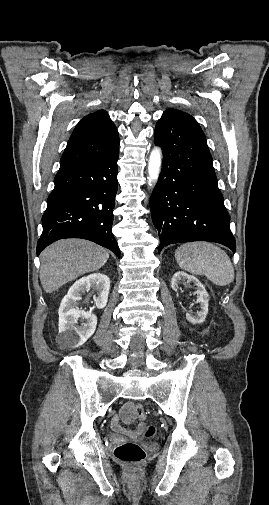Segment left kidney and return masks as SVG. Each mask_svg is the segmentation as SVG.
Here are the masks:
<instances>
[{"label": "left kidney", "instance_id": "obj_1", "mask_svg": "<svg viewBox=\"0 0 269 505\" xmlns=\"http://www.w3.org/2000/svg\"><path fill=\"white\" fill-rule=\"evenodd\" d=\"M185 279L188 282L194 283V285L196 286V291H195V294L197 295L196 303H198L199 307H200V311H197L196 314H193L190 311L187 312L186 319L189 322H191L192 324L203 323L206 319L207 314H208L209 295H208L207 291L205 290V287L203 286V284L195 276L189 275L183 271H178L173 275L172 280H171L172 289L174 291H177L180 281L185 280Z\"/></svg>", "mask_w": 269, "mask_h": 505}]
</instances>
